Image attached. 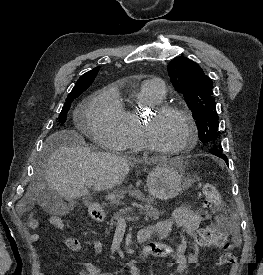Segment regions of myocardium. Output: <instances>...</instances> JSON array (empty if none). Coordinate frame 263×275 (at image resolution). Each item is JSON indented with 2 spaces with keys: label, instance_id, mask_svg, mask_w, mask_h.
<instances>
[{
  "label": "myocardium",
  "instance_id": "1",
  "mask_svg": "<svg viewBox=\"0 0 263 275\" xmlns=\"http://www.w3.org/2000/svg\"><path fill=\"white\" fill-rule=\"evenodd\" d=\"M167 114H175L183 117L189 126V133L187 138L185 139V141L181 146L175 149H164L157 146L154 143L149 132V125H148L149 116L151 115L161 116V115H167ZM140 134H141L144 146L147 150L163 156H175L194 147L198 139V126L194 116L189 110L176 105H171V104H156L151 107L149 115L141 119Z\"/></svg>",
  "mask_w": 263,
  "mask_h": 275
}]
</instances>
